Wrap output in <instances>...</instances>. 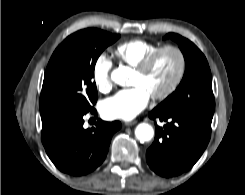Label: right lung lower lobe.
<instances>
[{
  "label": "right lung lower lobe",
  "mask_w": 245,
  "mask_h": 195,
  "mask_svg": "<svg viewBox=\"0 0 245 195\" xmlns=\"http://www.w3.org/2000/svg\"><path fill=\"white\" fill-rule=\"evenodd\" d=\"M91 113L96 110L92 108ZM61 117L42 122V143L46 153L61 171L82 176L94 171L105 159L113 134L121 123L98 120L95 127L84 129L83 116Z\"/></svg>",
  "instance_id": "1"
}]
</instances>
